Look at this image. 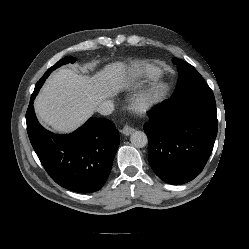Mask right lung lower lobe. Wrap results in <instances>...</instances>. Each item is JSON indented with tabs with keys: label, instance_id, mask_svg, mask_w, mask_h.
Returning <instances> with one entry per match:
<instances>
[{
	"label": "right lung lower lobe",
	"instance_id": "obj_1",
	"mask_svg": "<svg viewBox=\"0 0 249 249\" xmlns=\"http://www.w3.org/2000/svg\"><path fill=\"white\" fill-rule=\"evenodd\" d=\"M42 85L37 82L26 112L28 136L40 162L66 189L80 193L101 189L119 146L118 131L111 121L95 117L69 135L47 131L37 121L33 108Z\"/></svg>",
	"mask_w": 249,
	"mask_h": 249
}]
</instances>
